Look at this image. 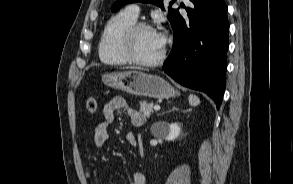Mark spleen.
<instances>
[{"label":"spleen","mask_w":293,"mask_h":184,"mask_svg":"<svg viewBox=\"0 0 293 184\" xmlns=\"http://www.w3.org/2000/svg\"><path fill=\"white\" fill-rule=\"evenodd\" d=\"M188 100L191 106H197L200 104V99L196 95H189Z\"/></svg>","instance_id":"obj_1"}]
</instances>
